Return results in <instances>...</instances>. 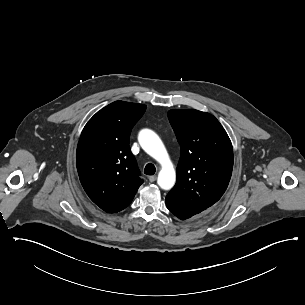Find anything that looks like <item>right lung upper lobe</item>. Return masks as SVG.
Here are the masks:
<instances>
[{"mask_svg": "<svg viewBox=\"0 0 305 305\" xmlns=\"http://www.w3.org/2000/svg\"><path fill=\"white\" fill-rule=\"evenodd\" d=\"M146 106L115 101L85 125L77 146V170L90 199L108 213L126 208L142 180L129 136Z\"/></svg>", "mask_w": 305, "mask_h": 305, "instance_id": "cb5924a9", "label": "right lung upper lobe"}]
</instances>
